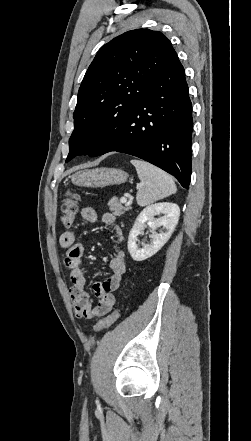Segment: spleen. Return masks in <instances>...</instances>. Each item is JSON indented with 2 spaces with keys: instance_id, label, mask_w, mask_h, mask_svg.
Wrapping results in <instances>:
<instances>
[{
  "instance_id": "obj_1",
  "label": "spleen",
  "mask_w": 251,
  "mask_h": 441,
  "mask_svg": "<svg viewBox=\"0 0 251 441\" xmlns=\"http://www.w3.org/2000/svg\"><path fill=\"white\" fill-rule=\"evenodd\" d=\"M142 187L138 190L136 201L139 206L152 204L174 194L176 185L170 175L158 167L139 159H132Z\"/></svg>"
}]
</instances>
